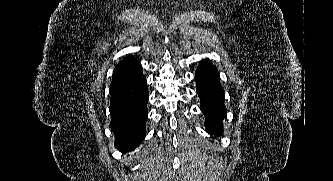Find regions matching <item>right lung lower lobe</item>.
<instances>
[{
    "instance_id": "1",
    "label": "right lung lower lobe",
    "mask_w": 333,
    "mask_h": 181,
    "mask_svg": "<svg viewBox=\"0 0 333 181\" xmlns=\"http://www.w3.org/2000/svg\"><path fill=\"white\" fill-rule=\"evenodd\" d=\"M110 128L115 134V146L122 153L134 150L145 137L148 117L146 78H137L110 89Z\"/></svg>"
}]
</instances>
